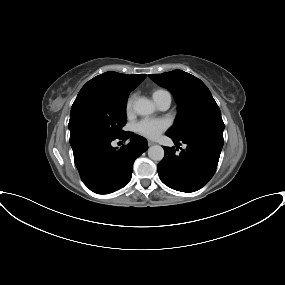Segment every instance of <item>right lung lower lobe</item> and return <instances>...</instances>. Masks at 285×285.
Wrapping results in <instances>:
<instances>
[{
  "mask_svg": "<svg viewBox=\"0 0 285 285\" xmlns=\"http://www.w3.org/2000/svg\"><path fill=\"white\" fill-rule=\"evenodd\" d=\"M130 143L116 150L115 139ZM75 165L84 184L93 192L107 194L124 187L131 179L133 163L148 148L147 140L131 132L118 138L87 136L71 143Z\"/></svg>",
  "mask_w": 285,
  "mask_h": 285,
  "instance_id": "1",
  "label": "right lung lower lobe"
}]
</instances>
